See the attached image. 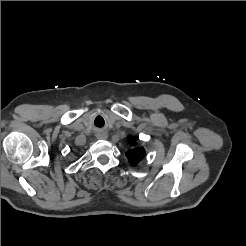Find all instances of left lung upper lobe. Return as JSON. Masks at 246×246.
Wrapping results in <instances>:
<instances>
[{"mask_svg":"<svg viewBox=\"0 0 246 246\" xmlns=\"http://www.w3.org/2000/svg\"><path fill=\"white\" fill-rule=\"evenodd\" d=\"M134 145V143H132ZM126 156L132 165L138 164L145 156V149L143 147H136L126 152Z\"/></svg>","mask_w":246,"mask_h":246,"instance_id":"obj_1","label":"left lung upper lobe"}]
</instances>
